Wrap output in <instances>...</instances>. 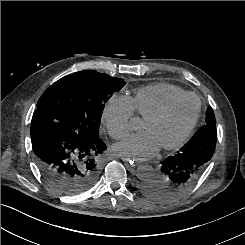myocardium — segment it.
<instances>
[{"mask_svg": "<svg viewBox=\"0 0 245 245\" xmlns=\"http://www.w3.org/2000/svg\"><path fill=\"white\" fill-rule=\"evenodd\" d=\"M188 97H194L198 101V108H197L196 115H195L192 123L189 125V127L180 136V138L178 140H176L175 142H173L171 144L164 145L161 147L164 151H171V150L178 149L181 146H183L185 144V142L189 139V137L191 136L192 132L194 131V129L198 123V120L200 118L201 108H202V103H201L200 98L194 93L187 92L181 96L170 99L168 102H166L164 105H162L159 109H157L155 112H153L152 114H150L148 117H146L144 119V122H146V123L156 121V120L162 118L163 116H165L174 105H176L177 103H179L180 101H182Z\"/></svg>", "mask_w": 245, "mask_h": 245, "instance_id": "1", "label": "myocardium"}]
</instances>
